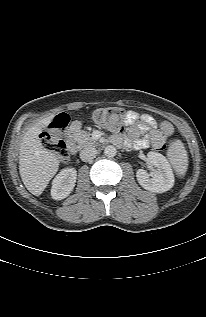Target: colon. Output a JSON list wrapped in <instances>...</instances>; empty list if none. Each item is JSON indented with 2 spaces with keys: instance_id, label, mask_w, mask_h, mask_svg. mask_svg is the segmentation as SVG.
<instances>
[{
  "instance_id": "colon-1",
  "label": "colon",
  "mask_w": 206,
  "mask_h": 317,
  "mask_svg": "<svg viewBox=\"0 0 206 317\" xmlns=\"http://www.w3.org/2000/svg\"><path fill=\"white\" fill-rule=\"evenodd\" d=\"M126 117L127 113L119 107L100 108L93 114V119L97 124L113 131H119L123 128L126 123ZM68 122V116L60 114L41 135L43 145L47 149L55 151L63 162L68 161L69 150L64 141L60 140V134ZM166 146V143H163L160 149H165Z\"/></svg>"
}]
</instances>
